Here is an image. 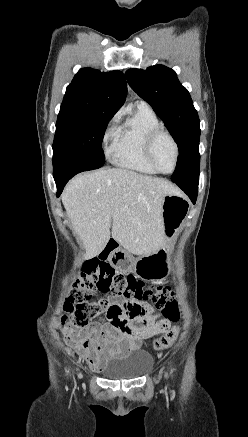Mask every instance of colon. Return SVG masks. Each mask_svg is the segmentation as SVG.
Here are the masks:
<instances>
[{
    "instance_id": "5ec220e1",
    "label": "colon",
    "mask_w": 248,
    "mask_h": 437,
    "mask_svg": "<svg viewBox=\"0 0 248 437\" xmlns=\"http://www.w3.org/2000/svg\"><path fill=\"white\" fill-rule=\"evenodd\" d=\"M99 290L112 294H128L138 300H152L162 307L164 334L154 341V348L162 350L170 346L177 336V330L170 324L179 319L178 303L174 292L165 286H146L132 274L116 272L115 267L105 258L90 259L83 263L80 275L69 289L64 310L63 322L76 327H85L91 320L106 311L109 302L104 299L92 300V292Z\"/></svg>"
}]
</instances>
